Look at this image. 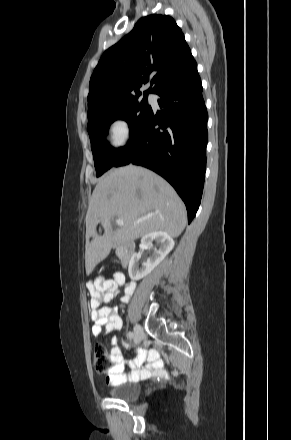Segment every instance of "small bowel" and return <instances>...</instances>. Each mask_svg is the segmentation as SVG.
<instances>
[{"label": "small bowel", "mask_w": 291, "mask_h": 440, "mask_svg": "<svg viewBox=\"0 0 291 440\" xmlns=\"http://www.w3.org/2000/svg\"><path fill=\"white\" fill-rule=\"evenodd\" d=\"M121 286H124L121 301L122 303H128L135 290V283L126 281L121 273H116L112 279L98 277L87 283L91 295L90 317L93 321L91 331L94 336H105L122 327V321L116 308L101 307L113 300ZM110 343L111 348L108 356L111 365L106 373L108 385L117 386L127 381L138 380L140 377L145 378L164 374L163 363L153 351H142L129 362L124 363L117 338L113 337ZM123 344L128 345L126 341H123Z\"/></svg>", "instance_id": "c3829d8e"}]
</instances>
